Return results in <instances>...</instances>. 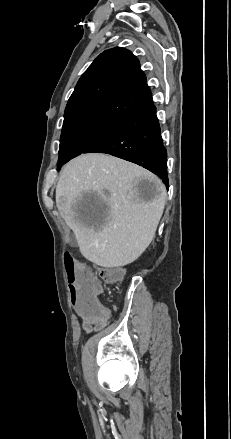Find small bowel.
Segmentation results:
<instances>
[{"mask_svg":"<svg viewBox=\"0 0 231 439\" xmlns=\"http://www.w3.org/2000/svg\"><path fill=\"white\" fill-rule=\"evenodd\" d=\"M83 321V329L86 333L99 331L107 324L109 318L112 316V311L106 308V316L99 320H85L83 313H77Z\"/></svg>","mask_w":231,"mask_h":439,"instance_id":"small-bowel-1","label":"small bowel"}]
</instances>
